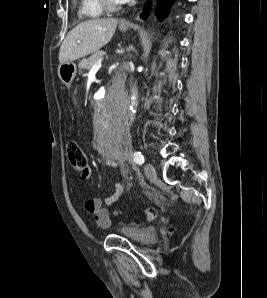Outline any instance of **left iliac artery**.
I'll return each mask as SVG.
<instances>
[{
  "instance_id": "44dca946",
  "label": "left iliac artery",
  "mask_w": 267,
  "mask_h": 298,
  "mask_svg": "<svg viewBox=\"0 0 267 298\" xmlns=\"http://www.w3.org/2000/svg\"><path fill=\"white\" fill-rule=\"evenodd\" d=\"M134 161L139 165H142L145 162V158L140 151L134 152Z\"/></svg>"
}]
</instances>
